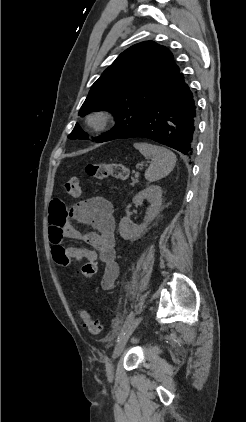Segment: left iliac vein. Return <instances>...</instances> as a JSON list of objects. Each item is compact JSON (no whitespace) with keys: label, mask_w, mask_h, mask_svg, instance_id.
<instances>
[{"label":"left iliac vein","mask_w":246,"mask_h":422,"mask_svg":"<svg viewBox=\"0 0 246 422\" xmlns=\"http://www.w3.org/2000/svg\"><path fill=\"white\" fill-rule=\"evenodd\" d=\"M142 319H143V316H139L135 320H133L131 322V324L129 325V327L125 329L124 333L121 335L120 339L118 340V343L116 344L114 351H113L112 360L106 365V371H107L108 379H110V380L113 379V376H114L113 362L120 356V354L122 353L128 339L130 338L133 331L140 324Z\"/></svg>","instance_id":"obj_1"}]
</instances>
